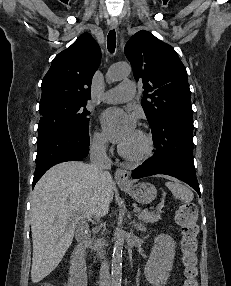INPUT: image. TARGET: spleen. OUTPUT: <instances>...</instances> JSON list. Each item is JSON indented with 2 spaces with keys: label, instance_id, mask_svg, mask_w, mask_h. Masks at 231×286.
<instances>
[{
  "label": "spleen",
  "instance_id": "1",
  "mask_svg": "<svg viewBox=\"0 0 231 286\" xmlns=\"http://www.w3.org/2000/svg\"><path fill=\"white\" fill-rule=\"evenodd\" d=\"M165 185L176 199L184 203H189L194 198L192 191L177 180L167 181Z\"/></svg>",
  "mask_w": 231,
  "mask_h": 286
}]
</instances>
